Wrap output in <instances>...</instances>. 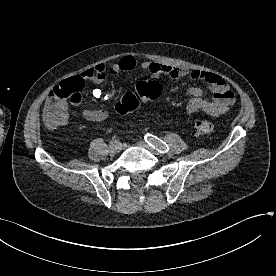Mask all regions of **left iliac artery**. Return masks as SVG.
Instances as JSON below:
<instances>
[{
    "label": "left iliac artery",
    "instance_id": "obj_1",
    "mask_svg": "<svg viewBox=\"0 0 276 276\" xmlns=\"http://www.w3.org/2000/svg\"><path fill=\"white\" fill-rule=\"evenodd\" d=\"M144 139L149 145L158 150L160 153H166L169 150L168 145L156 136L146 134Z\"/></svg>",
    "mask_w": 276,
    "mask_h": 276
}]
</instances>
